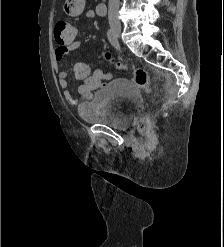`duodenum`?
<instances>
[{
  "instance_id": "410a0bca",
  "label": "duodenum",
  "mask_w": 224,
  "mask_h": 247,
  "mask_svg": "<svg viewBox=\"0 0 224 247\" xmlns=\"http://www.w3.org/2000/svg\"><path fill=\"white\" fill-rule=\"evenodd\" d=\"M96 11L98 15L103 16L106 12V3L104 1L99 2L96 5Z\"/></svg>"
}]
</instances>
